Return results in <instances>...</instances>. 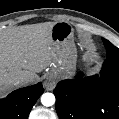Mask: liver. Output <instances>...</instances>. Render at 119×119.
<instances>
[{
	"label": "liver",
	"mask_w": 119,
	"mask_h": 119,
	"mask_svg": "<svg viewBox=\"0 0 119 119\" xmlns=\"http://www.w3.org/2000/svg\"><path fill=\"white\" fill-rule=\"evenodd\" d=\"M55 22H46L0 35V96L15 86L20 76L32 83L38 72L51 65L55 49L50 37ZM27 83V84H28Z\"/></svg>",
	"instance_id": "1"
}]
</instances>
